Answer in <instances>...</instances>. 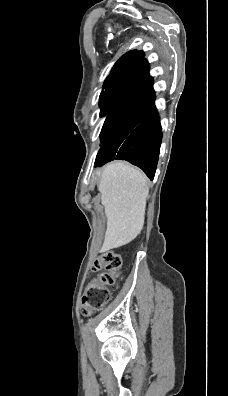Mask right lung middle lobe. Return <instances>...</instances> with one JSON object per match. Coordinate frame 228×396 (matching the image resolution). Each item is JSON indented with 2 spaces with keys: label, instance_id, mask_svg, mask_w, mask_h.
<instances>
[{
  "label": "right lung middle lobe",
  "instance_id": "right-lung-middle-lobe-1",
  "mask_svg": "<svg viewBox=\"0 0 228 396\" xmlns=\"http://www.w3.org/2000/svg\"><path fill=\"white\" fill-rule=\"evenodd\" d=\"M146 75V71H138L104 82L99 105L100 116L107 117L100 134L101 146L117 120L130 106Z\"/></svg>",
  "mask_w": 228,
  "mask_h": 396
}]
</instances>
